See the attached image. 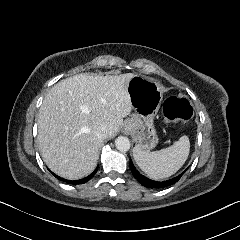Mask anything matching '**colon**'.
Segmentation results:
<instances>
[{
  "mask_svg": "<svg viewBox=\"0 0 240 240\" xmlns=\"http://www.w3.org/2000/svg\"><path fill=\"white\" fill-rule=\"evenodd\" d=\"M162 122L190 120L193 116L191 103L183 97H172L163 106Z\"/></svg>",
  "mask_w": 240,
  "mask_h": 240,
  "instance_id": "5ec220e1",
  "label": "colon"
}]
</instances>
